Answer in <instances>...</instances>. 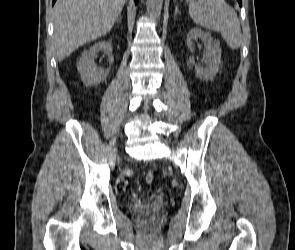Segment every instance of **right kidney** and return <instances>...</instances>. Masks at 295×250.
<instances>
[{"instance_id": "right-kidney-1", "label": "right kidney", "mask_w": 295, "mask_h": 250, "mask_svg": "<svg viewBox=\"0 0 295 250\" xmlns=\"http://www.w3.org/2000/svg\"><path fill=\"white\" fill-rule=\"evenodd\" d=\"M103 51L109 57V63H113L112 46L109 41H100L94 44L82 54L77 68L81 79L86 86H95L106 79L108 70L97 69L94 58L98 52Z\"/></svg>"}]
</instances>
